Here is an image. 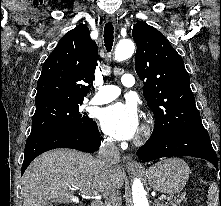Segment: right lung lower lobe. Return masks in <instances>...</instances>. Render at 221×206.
Listing matches in <instances>:
<instances>
[{
	"instance_id": "obj_1",
	"label": "right lung lower lobe",
	"mask_w": 221,
	"mask_h": 206,
	"mask_svg": "<svg viewBox=\"0 0 221 206\" xmlns=\"http://www.w3.org/2000/svg\"><path fill=\"white\" fill-rule=\"evenodd\" d=\"M97 124L84 129L48 130L30 134L25 146L22 174L31 161L41 153L56 148H72L95 152L101 144Z\"/></svg>"
}]
</instances>
